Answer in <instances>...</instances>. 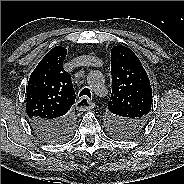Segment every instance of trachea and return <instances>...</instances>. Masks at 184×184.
<instances>
[{
	"instance_id": "3493384b",
	"label": "trachea",
	"mask_w": 184,
	"mask_h": 184,
	"mask_svg": "<svg viewBox=\"0 0 184 184\" xmlns=\"http://www.w3.org/2000/svg\"><path fill=\"white\" fill-rule=\"evenodd\" d=\"M79 96L80 97L87 96V97L91 98V92L88 88H84V89L81 90Z\"/></svg>"
}]
</instances>
